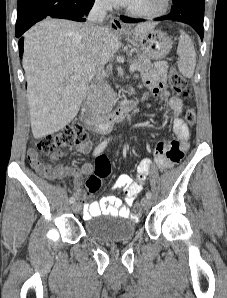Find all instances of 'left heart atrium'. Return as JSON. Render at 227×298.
I'll list each match as a JSON object with an SVG mask.
<instances>
[{
    "label": "left heart atrium",
    "mask_w": 227,
    "mask_h": 298,
    "mask_svg": "<svg viewBox=\"0 0 227 298\" xmlns=\"http://www.w3.org/2000/svg\"><path fill=\"white\" fill-rule=\"evenodd\" d=\"M112 2L122 5V6H131L134 0H111Z\"/></svg>",
    "instance_id": "1"
}]
</instances>
